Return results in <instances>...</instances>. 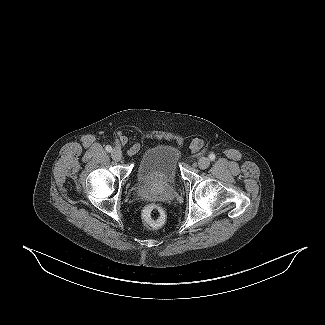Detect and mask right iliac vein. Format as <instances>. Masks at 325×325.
Wrapping results in <instances>:
<instances>
[{
  "label": "right iliac vein",
  "mask_w": 325,
  "mask_h": 325,
  "mask_svg": "<svg viewBox=\"0 0 325 325\" xmlns=\"http://www.w3.org/2000/svg\"><path fill=\"white\" fill-rule=\"evenodd\" d=\"M111 156L115 161H120L121 158H122V153H121V151L119 149H114L111 152Z\"/></svg>",
  "instance_id": "63e3f726"
}]
</instances>
